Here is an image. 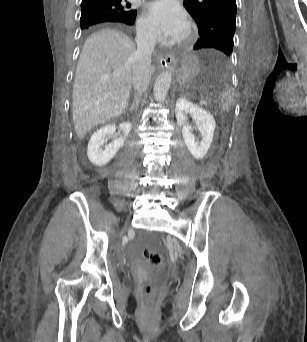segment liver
Returning a JSON list of instances; mask_svg holds the SVG:
<instances>
[{"instance_id": "obj_1", "label": "liver", "mask_w": 307, "mask_h": 342, "mask_svg": "<svg viewBox=\"0 0 307 342\" xmlns=\"http://www.w3.org/2000/svg\"><path fill=\"white\" fill-rule=\"evenodd\" d=\"M135 46L123 32L99 30L87 38L73 84V122L77 138L125 112L132 90ZM154 70V68H153ZM102 74H110L102 78Z\"/></svg>"}]
</instances>
